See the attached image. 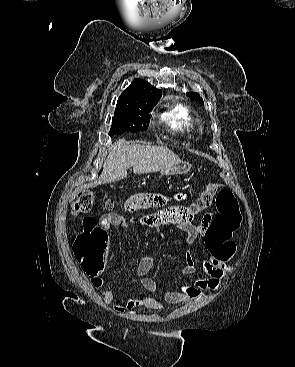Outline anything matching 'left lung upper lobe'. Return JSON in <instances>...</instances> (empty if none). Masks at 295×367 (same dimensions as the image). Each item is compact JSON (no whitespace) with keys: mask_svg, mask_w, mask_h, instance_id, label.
Listing matches in <instances>:
<instances>
[{"mask_svg":"<svg viewBox=\"0 0 295 367\" xmlns=\"http://www.w3.org/2000/svg\"><path fill=\"white\" fill-rule=\"evenodd\" d=\"M186 95H188L190 98H193V99L199 101L202 104L204 103L203 99L200 97V95L198 93L188 92V93H186Z\"/></svg>","mask_w":295,"mask_h":367,"instance_id":"1","label":"left lung upper lobe"}]
</instances>
